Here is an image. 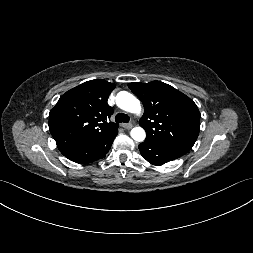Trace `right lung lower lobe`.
<instances>
[{"label":"right lung lower lobe","instance_id":"98d812e1","mask_svg":"<svg viewBox=\"0 0 253 253\" xmlns=\"http://www.w3.org/2000/svg\"><path fill=\"white\" fill-rule=\"evenodd\" d=\"M118 131L112 133L111 135L105 136L93 143L81 146L64 156L71 161L80 164L92 163L98 159L104 158L109 152L114 138L116 137Z\"/></svg>","mask_w":253,"mask_h":253}]
</instances>
